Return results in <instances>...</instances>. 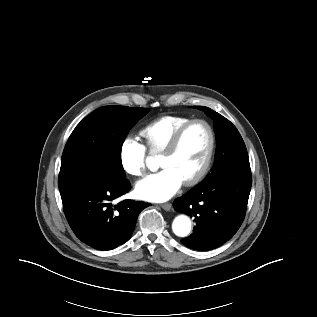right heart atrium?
I'll use <instances>...</instances> for the list:
<instances>
[{
  "mask_svg": "<svg viewBox=\"0 0 317 317\" xmlns=\"http://www.w3.org/2000/svg\"><path fill=\"white\" fill-rule=\"evenodd\" d=\"M146 147L135 137H127L121 143L119 160L122 169L129 175L140 177L146 172Z\"/></svg>",
  "mask_w": 317,
  "mask_h": 317,
  "instance_id": "obj_1",
  "label": "right heart atrium"
}]
</instances>
